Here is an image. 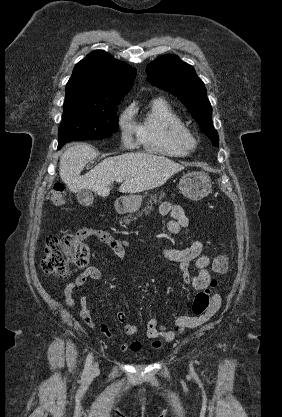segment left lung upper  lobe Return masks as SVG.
<instances>
[{
    "label": "left lung upper lobe",
    "instance_id": "1",
    "mask_svg": "<svg viewBox=\"0 0 282 417\" xmlns=\"http://www.w3.org/2000/svg\"><path fill=\"white\" fill-rule=\"evenodd\" d=\"M146 73L148 82L168 90L188 108L212 144L218 147L219 137L212 124V107L204 83L194 68L176 55H164L152 61Z\"/></svg>",
    "mask_w": 282,
    "mask_h": 417
}]
</instances>
